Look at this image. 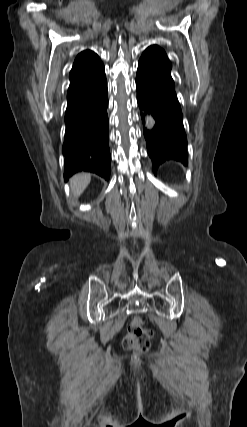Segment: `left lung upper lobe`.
Instances as JSON below:
<instances>
[{
	"label": "left lung upper lobe",
	"instance_id": "1",
	"mask_svg": "<svg viewBox=\"0 0 247 427\" xmlns=\"http://www.w3.org/2000/svg\"><path fill=\"white\" fill-rule=\"evenodd\" d=\"M141 57H146L152 61H154L161 68L170 73L171 63L166 55V53L159 48L157 45H152L148 47Z\"/></svg>",
	"mask_w": 247,
	"mask_h": 427
}]
</instances>
